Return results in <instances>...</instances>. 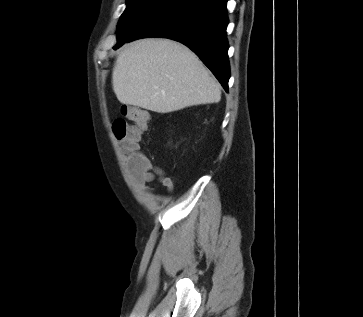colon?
<instances>
[{
  "mask_svg": "<svg viewBox=\"0 0 363 317\" xmlns=\"http://www.w3.org/2000/svg\"><path fill=\"white\" fill-rule=\"evenodd\" d=\"M121 114L113 122V134L127 157L128 165L140 167L146 157L139 151V144L142 132L148 127L150 116L143 109L126 105L122 107Z\"/></svg>",
  "mask_w": 363,
  "mask_h": 317,
  "instance_id": "1",
  "label": "colon"
}]
</instances>
